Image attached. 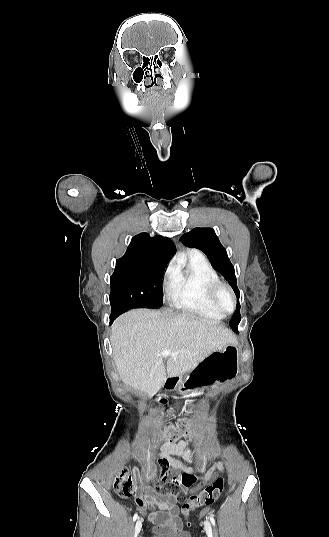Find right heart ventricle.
Instances as JSON below:
<instances>
[{
  "label": "right heart ventricle",
  "mask_w": 329,
  "mask_h": 537,
  "mask_svg": "<svg viewBox=\"0 0 329 537\" xmlns=\"http://www.w3.org/2000/svg\"><path fill=\"white\" fill-rule=\"evenodd\" d=\"M219 281L216 271L201 254L192 253L188 261L175 269L167 295L171 305L182 312L213 319L224 315L211 304L209 289Z\"/></svg>",
  "instance_id": "obj_1"
}]
</instances>
